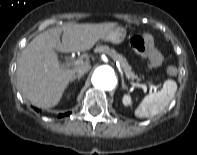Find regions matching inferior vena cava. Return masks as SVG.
Returning <instances> with one entry per match:
<instances>
[{
  "mask_svg": "<svg viewBox=\"0 0 197 155\" xmlns=\"http://www.w3.org/2000/svg\"><path fill=\"white\" fill-rule=\"evenodd\" d=\"M89 69H90V66H82V67L78 68L77 74L84 75Z\"/></svg>",
  "mask_w": 197,
  "mask_h": 155,
  "instance_id": "inferior-vena-cava-1",
  "label": "inferior vena cava"
}]
</instances>
